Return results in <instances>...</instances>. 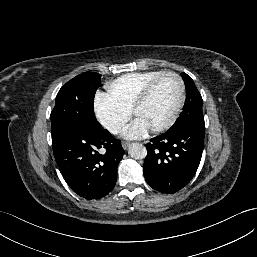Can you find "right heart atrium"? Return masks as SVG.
<instances>
[{
	"instance_id": "1",
	"label": "right heart atrium",
	"mask_w": 257,
	"mask_h": 257,
	"mask_svg": "<svg viewBox=\"0 0 257 257\" xmlns=\"http://www.w3.org/2000/svg\"><path fill=\"white\" fill-rule=\"evenodd\" d=\"M104 106L115 112V119L111 122H106L102 118L100 107ZM95 115L100 124L112 135H118L124 129L126 123L131 117V111L126 110L113 102L108 95L99 94L95 101Z\"/></svg>"
}]
</instances>
